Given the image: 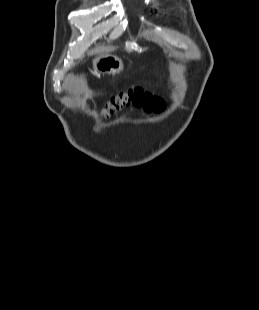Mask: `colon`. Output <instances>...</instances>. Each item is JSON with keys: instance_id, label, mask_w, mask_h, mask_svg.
<instances>
[{"instance_id": "1", "label": "colon", "mask_w": 259, "mask_h": 310, "mask_svg": "<svg viewBox=\"0 0 259 310\" xmlns=\"http://www.w3.org/2000/svg\"><path fill=\"white\" fill-rule=\"evenodd\" d=\"M130 105L146 109H159L162 106V101L157 96L143 89L136 88L128 92L120 93L112 98L102 109L101 116L102 118H108L111 114Z\"/></svg>"}]
</instances>
